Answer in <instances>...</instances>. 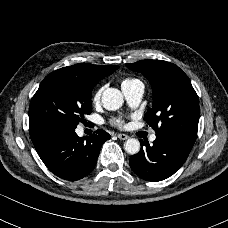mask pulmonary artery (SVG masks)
I'll return each mask as SVG.
<instances>
[{
  "label": "pulmonary artery",
  "mask_w": 228,
  "mask_h": 228,
  "mask_svg": "<svg viewBox=\"0 0 228 228\" xmlns=\"http://www.w3.org/2000/svg\"><path fill=\"white\" fill-rule=\"evenodd\" d=\"M122 92L128 104L131 107H135L142 100L144 94V84L140 80H135L131 83L124 84L121 86ZM150 142H154L156 140V134L152 133L149 136Z\"/></svg>",
  "instance_id": "obj_1"
}]
</instances>
